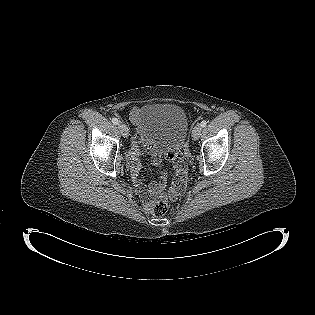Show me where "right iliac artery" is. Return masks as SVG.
Returning <instances> with one entry per match:
<instances>
[{
  "label": "right iliac artery",
  "mask_w": 315,
  "mask_h": 315,
  "mask_svg": "<svg viewBox=\"0 0 315 315\" xmlns=\"http://www.w3.org/2000/svg\"><path fill=\"white\" fill-rule=\"evenodd\" d=\"M112 123L117 125L119 122H118V119L117 118H112Z\"/></svg>",
  "instance_id": "1"
}]
</instances>
